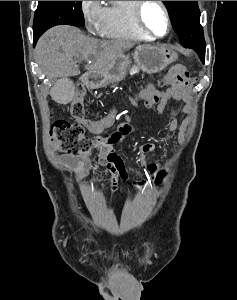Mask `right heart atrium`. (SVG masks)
I'll use <instances>...</instances> for the list:
<instances>
[{
  "label": "right heart atrium",
  "instance_id": "1",
  "mask_svg": "<svg viewBox=\"0 0 237 300\" xmlns=\"http://www.w3.org/2000/svg\"><path fill=\"white\" fill-rule=\"evenodd\" d=\"M80 9L86 27L93 32H100L103 28L106 7L101 1H80Z\"/></svg>",
  "mask_w": 237,
  "mask_h": 300
}]
</instances>
